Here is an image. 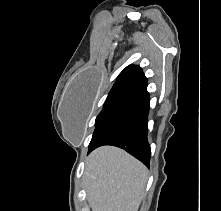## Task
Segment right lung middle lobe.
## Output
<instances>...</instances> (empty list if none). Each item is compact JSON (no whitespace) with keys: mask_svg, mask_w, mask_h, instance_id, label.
Returning a JSON list of instances; mask_svg holds the SVG:
<instances>
[{"mask_svg":"<svg viewBox=\"0 0 221 211\" xmlns=\"http://www.w3.org/2000/svg\"><path fill=\"white\" fill-rule=\"evenodd\" d=\"M137 93L138 92L133 90L109 92L103 109L96 118L95 130L91 142L103 132V130L117 117L120 111Z\"/></svg>","mask_w":221,"mask_h":211,"instance_id":"obj_1","label":"right lung middle lobe"}]
</instances>
